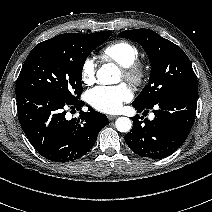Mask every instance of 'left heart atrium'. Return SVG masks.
<instances>
[{
	"mask_svg": "<svg viewBox=\"0 0 212 212\" xmlns=\"http://www.w3.org/2000/svg\"><path fill=\"white\" fill-rule=\"evenodd\" d=\"M132 92L125 84L98 86L87 93L88 103L97 111L114 113L124 102L131 99Z\"/></svg>",
	"mask_w": 212,
	"mask_h": 212,
	"instance_id": "obj_1",
	"label": "left heart atrium"
}]
</instances>
